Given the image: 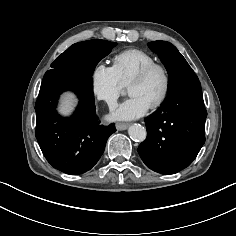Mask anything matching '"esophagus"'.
<instances>
[{
	"instance_id": "1",
	"label": "esophagus",
	"mask_w": 236,
	"mask_h": 236,
	"mask_svg": "<svg viewBox=\"0 0 236 236\" xmlns=\"http://www.w3.org/2000/svg\"><path fill=\"white\" fill-rule=\"evenodd\" d=\"M116 129L119 131L126 130L129 126L127 123H116Z\"/></svg>"
}]
</instances>
